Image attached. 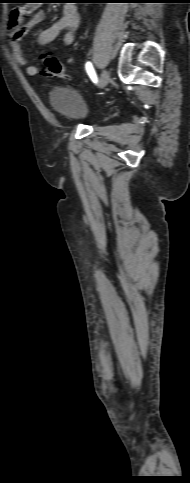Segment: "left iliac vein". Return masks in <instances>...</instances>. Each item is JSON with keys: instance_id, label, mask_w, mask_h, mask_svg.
<instances>
[{"instance_id": "obj_1", "label": "left iliac vein", "mask_w": 190, "mask_h": 483, "mask_svg": "<svg viewBox=\"0 0 190 483\" xmlns=\"http://www.w3.org/2000/svg\"><path fill=\"white\" fill-rule=\"evenodd\" d=\"M110 80V74L107 69H104L100 75L99 84L101 88H104Z\"/></svg>"}]
</instances>
